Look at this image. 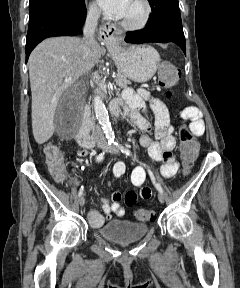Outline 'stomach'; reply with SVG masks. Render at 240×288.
<instances>
[{"label": "stomach", "instance_id": "1", "mask_svg": "<svg viewBox=\"0 0 240 288\" xmlns=\"http://www.w3.org/2000/svg\"><path fill=\"white\" fill-rule=\"evenodd\" d=\"M109 53L119 72L128 79L144 83L149 81L160 63V55L149 45L126 47L121 42L109 46Z\"/></svg>", "mask_w": 240, "mask_h": 288}]
</instances>
